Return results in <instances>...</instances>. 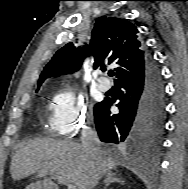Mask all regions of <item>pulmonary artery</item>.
Wrapping results in <instances>:
<instances>
[{
  "instance_id": "e3ab8cb5",
  "label": "pulmonary artery",
  "mask_w": 188,
  "mask_h": 189,
  "mask_svg": "<svg viewBox=\"0 0 188 189\" xmlns=\"http://www.w3.org/2000/svg\"><path fill=\"white\" fill-rule=\"evenodd\" d=\"M97 87L100 91L106 92L110 89L111 84L107 79L101 78L97 81Z\"/></svg>"
}]
</instances>
